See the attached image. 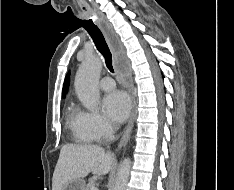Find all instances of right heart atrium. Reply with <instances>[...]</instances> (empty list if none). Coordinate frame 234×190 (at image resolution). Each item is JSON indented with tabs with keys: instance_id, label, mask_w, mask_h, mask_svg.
Wrapping results in <instances>:
<instances>
[{
	"instance_id": "1",
	"label": "right heart atrium",
	"mask_w": 234,
	"mask_h": 190,
	"mask_svg": "<svg viewBox=\"0 0 234 190\" xmlns=\"http://www.w3.org/2000/svg\"><path fill=\"white\" fill-rule=\"evenodd\" d=\"M81 119L86 129L98 141L107 139L114 131L113 125L97 112L81 111Z\"/></svg>"
}]
</instances>
